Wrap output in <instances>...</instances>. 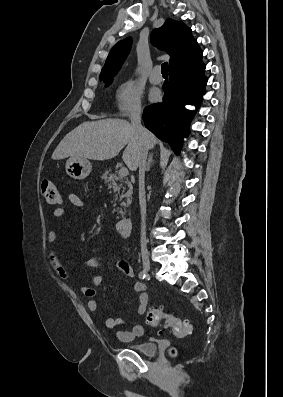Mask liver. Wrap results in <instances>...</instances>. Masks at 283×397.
Instances as JSON below:
<instances>
[{"label":"liver","instance_id":"obj_1","mask_svg":"<svg viewBox=\"0 0 283 397\" xmlns=\"http://www.w3.org/2000/svg\"><path fill=\"white\" fill-rule=\"evenodd\" d=\"M148 132V148L157 144L156 137ZM122 159L131 171L138 168L143 142L132 125L121 119H101L83 122L69 132L58 144L52 159L76 157L91 160L114 158L124 148Z\"/></svg>","mask_w":283,"mask_h":397}]
</instances>
